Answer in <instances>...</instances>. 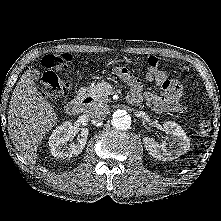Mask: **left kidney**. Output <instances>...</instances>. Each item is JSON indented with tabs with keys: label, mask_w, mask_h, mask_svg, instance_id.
<instances>
[{
	"label": "left kidney",
	"mask_w": 221,
	"mask_h": 221,
	"mask_svg": "<svg viewBox=\"0 0 221 221\" xmlns=\"http://www.w3.org/2000/svg\"><path fill=\"white\" fill-rule=\"evenodd\" d=\"M163 128L171 137L162 143L159 144L153 138H143L144 146L152 157L157 160L170 161L189 150L190 140L181 126L175 122L167 121L164 122Z\"/></svg>",
	"instance_id": "1"
}]
</instances>
